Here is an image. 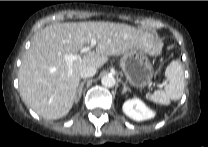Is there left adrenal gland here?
<instances>
[{
  "label": "left adrenal gland",
  "instance_id": "1",
  "mask_svg": "<svg viewBox=\"0 0 208 147\" xmlns=\"http://www.w3.org/2000/svg\"><path fill=\"white\" fill-rule=\"evenodd\" d=\"M127 91L131 92V89L127 87L126 83H123L122 94H125Z\"/></svg>",
  "mask_w": 208,
  "mask_h": 147
}]
</instances>
